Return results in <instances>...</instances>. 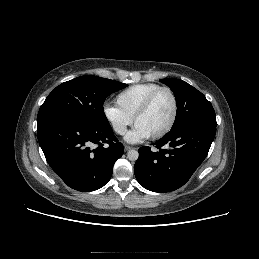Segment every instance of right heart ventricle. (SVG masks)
<instances>
[{
  "mask_svg": "<svg viewBox=\"0 0 259 259\" xmlns=\"http://www.w3.org/2000/svg\"><path fill=\"white\" fill-rule=\"evenodd\" d=\"M159 87L160 85L155 83L132 85L118 93L115 98L117 107L133 119L147 96Z\"/></svg>",
  "mask_w": 259,
  "mask_h": 259,
  "instance_id": "e07e8e85",
  "label": "right heart ventricle"
}]
</instances>
